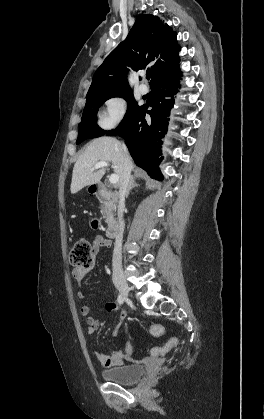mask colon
<instances>
[{
  "label": "colon",
  "instance_id": "obj_1",
  "mask_svg": "<svg viewBox=\"0 0 264 419\" xmlns=\"http://www.w3.org/2000/svg\"><path fill=\"white\" fill-rule=\"evenodd\" d=\"M92 226L94 228H98L100 226V222L98 220H94L92 222ZM69 261L71 265L88 269L91 268L93 265V252H92V245L87 240H78L75 245L73 246L72 250L69 254ZM158 334V330L155 329L152 332L153 336ZM178 343V340H174L171 343V346L175 347Z\"/></svg>",
  "mask_w": 264,
  "mask_h": 419
}]
</instances>
